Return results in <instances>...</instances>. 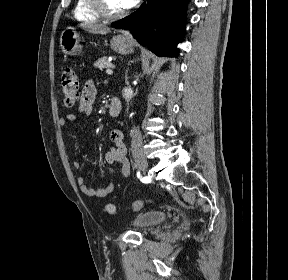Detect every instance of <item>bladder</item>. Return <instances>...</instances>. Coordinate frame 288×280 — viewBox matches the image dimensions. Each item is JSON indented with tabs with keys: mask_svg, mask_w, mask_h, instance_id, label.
I'll return each instance as SVG.
<instances>
[{
	"mask_svg": "<svg viewBox=\"0 0 288 280\" xmlns=\"http://www.w3.org/2000/svg\"><path fill=\"white\" fill-rule=\"evenodd\" d=\"M167 218L166 213L158 210L144 212L138 215L132 225L138 229H151L163 223Z\"/></svg>",
	"mask_w": 288,
	"mask_h": 280,
	"instance_id": "bladder-1",
	"label": "bladder"
}]
</instances>
